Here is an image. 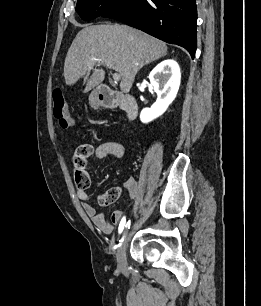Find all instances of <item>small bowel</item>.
Instances as JSON below:
<instances>
[{"label": "small bowel", "mask_w": 261, "mask_h": 306, "mask_svg": "<svg viewBox=\"0 0 261 306\" xmlns=\"http://www.w3.org/2000/svg\"><path fill=\"white\" fill-rule=\"evenodd\" d=\"M125 154L126 150L122 144L117 142H106L93 149L91 155L94 160H99L110 156L117 159H122ZM74 176L77 185L76 193L78 198L82 201V207L87 216L99 230L107 234L112 233L115 226L122 220L124 211L122 209L113 211L110 220H107L105 215L98 212L97 209L89 202L87 188L90 185V177L86 171V167H75ZM124 187L129 192L131 199H134L137 196L139 186L135 178H128L124 183Z\"/></svg>", "instance_id": "1"}]
</instances>
